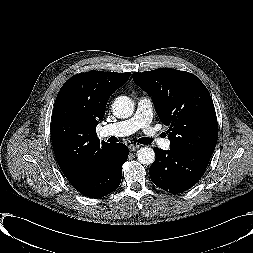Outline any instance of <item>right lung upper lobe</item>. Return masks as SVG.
<instances>
[{
	"label": "right lung upper lobe",
	"instance_id": "obj_1",
	"mask_svg": "<svg viewBox=\"0 0 253 253\" xmlns=\"http://www.w3.org/2000/svg\"><path fill=\"white\" fill-rule=\"evenodd\" d=\"M130 74L89 71L71 77L61 87L53 109L52 146L59 167L73 186L110 145L100 142L96 126L104 118L111 94Z\"/></svg>",
	"mask_w": 253,
	"mask_h": 253
}]
</instances>
